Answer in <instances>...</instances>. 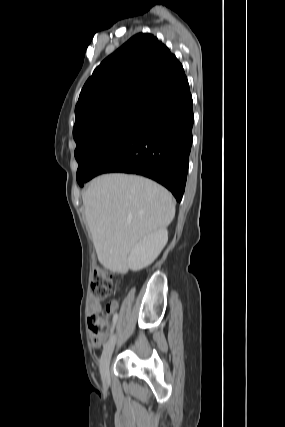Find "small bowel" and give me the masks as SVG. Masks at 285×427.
Segmentation results:
<instances>
[{
  "mask_svg": "<svg viewBox=\"0 0 285 427\" xmlns=\"http://www.w3.org/2000/svg\"><path fill=\"white\" fill-rule=\"evenodd\" d=\"M117 305L118 304H117L116 301L111 302L110 305H109V310L111 312H113L117 308ZM100 310H101V305H100L99 302L94 301V300H90L88 302V312H89V314L98 313Z\"/></svg>",
  "mask_w": 285,
  "mask_h": 427,
  "instance_id": "obj_1",
  "label": "small bowel"
}]
</instances>
